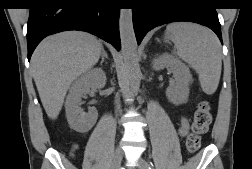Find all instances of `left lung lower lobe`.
Returning a JSON list of instances; mask_svg holds the SVG:
<instances>
[{
    "label": "left lung lower lobe",
    "mask_w": 252,
    "mask_h": 169,
    "mask_svg": "<svg viewBox=\"0 0 252 169\" xmlns=\"http://www.w3.org/2000/svg\"><path fill=\"white\" fill-rule=\"evenodd\" d=\"M160 3L155 8L133 9V24L140 44L145 34L153 28L170 22H194L212 29L222 42L218 15L211 0ZM197 6V7H196Z\"/></svg>",
    "instance_id": "1"
}]
</instances>
